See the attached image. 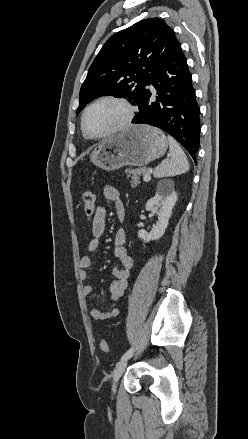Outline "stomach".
I'll return each mask as SVG.
<instances>
[{
    "instance_id": "0dacf381",
    "label": "stomach",
    "mask_w": 248,
    "mask_h": 439,
    "mask_svg": "<svg viewBox=\"0 0 248 439\" xmlns=\"http://www.w3.org/2000/svg\"><path fill=\"white\" fill-rule=\"evenodd\" d=\"M168 147L165 134L148 125H133L123 133L100 142L92 151V163L106 171L123 166H145L162 157Z\"/></svg>"
}]
</instances>
